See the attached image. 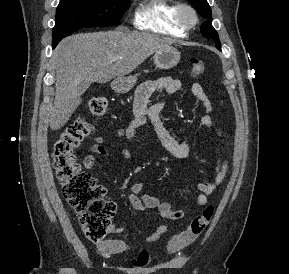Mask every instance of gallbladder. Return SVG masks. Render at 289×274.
<instances>
[{"mask_svg": "<svg viewBox=\"0 0 289 274\" xmlns=\"http://www.w3.org/2000/svg\"><path fill=\"white\" fill-rule=\"evenodd\" d=\"M89 86H90L89 83H81V84L78 86V92H79V93H83Z\"/></svg>", "mask_w": 289, "mask_h": 274, "instance_id": "obj_1", "label": "gallbladder"}]
</instances>
